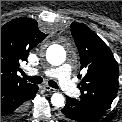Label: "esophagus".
<instances>
[{"label": "esophagus", "instance_id": "esophagus-1", "mask_svg": "<svg viewBox=\"0 0 122 122\" xmlns=\"http://www.w3.org/2000/svg\"><path fill=\"white\" fill-rule=\"evenodd\" d=\"M43 88H44L46 91L50 92V93L56 92V90H55L54 88H52V87H50V86H48V85H44Z\"/></svg>", "mask_w": 122, "mask_h": 122}]
</instances>
